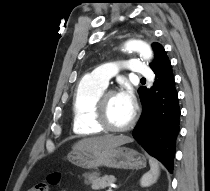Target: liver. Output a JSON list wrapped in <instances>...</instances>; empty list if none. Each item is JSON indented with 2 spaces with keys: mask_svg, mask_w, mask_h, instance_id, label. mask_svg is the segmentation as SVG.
<instances>
[{
  "mask_svg": "<svg viewBox=\"0 0 210 191\" xmlns=\"http://www.w3.org/2000/svg\"><path fill=\"white\" fill-rule=\"evenodd\" d=\"M133 140L128 136H99L85 138L74 144V150H103L117 147L126 143H131Z\"/></svg>",
  "mask_w": 210,
  "mask_h": 191,
  "instance_id": "6515ba94",
  "label": "liver"
}]
</instances>
